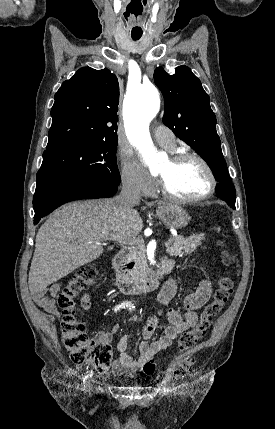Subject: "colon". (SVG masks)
<instances>
[{
  "label": "colon",
  "mask_w": 275,
  "mask_h": 429,
  "mask_svg": "<svg viewBox=\"0 0 275 429\" xmlns=\"http://www.w3.org/2000/svg\"><path fill=\"white\" fill-rule=\"evenodd\" d=\"M219 245L223 247V242ZM222 263L228 268L231 259L226 250H222ZM98 270L88 265L76 272L62 288L58 296V305L62 310V343L70 359L76 364H89L98 372L110 369L113 352L109 340L97 336L90 339L83 323L76 318L75 298L83 290L95 284ZM233 292V281L229 271L219 279L218 288L212 301L207 303L192 329L181 335L178 341V354L169 364L166 374L178 379L185 376L194 363L192 349L206 336L214 318L221 312ZM154 363L146 366V373H151Z\"/></svg>",
  "instance_id": "colon-1"
}]
</instances>
